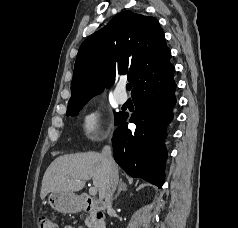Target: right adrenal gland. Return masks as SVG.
Instances as JSON below:
<instances>
[{
  "instance_id": "obj_1",
  "label": "right adrenal gland",
  "mask_w": 238,
  "mask_h": 228,
  "mask_svg": "<svg viewBox=\"0 0 238 228\" xmlns=\"http://www.w3.org/2000/svg\"><path fill=\"white\" fill-rule=\"evenodd\" d=\"M127 190V185L122 181V179H120L119 181V186H118V191L116 193V195L114 196V200L117 199V197L119 196L121 191H126Z\"/></svg>"
}]
</instances>
